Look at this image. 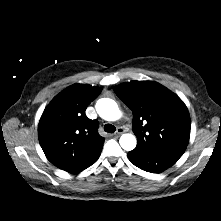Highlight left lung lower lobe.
<instances>
[{
    "mask_svg": "<svg viewBox=\"0 0 221 221\" xmlns=\"http://www.w3.org/2000/svg\"><path fill=\"white\" fill-rule=\"evenodd\" d=\"M181 154L134 149L128 153V158L132 164L140 169L151 172L160 173L174 165Z\"/></svg>",
    "mask_w": 221,
    "mask_h": 221,
    "instance_id": "0a47b994",
    "label": "left lung lower lobe"
}]
</instances>
